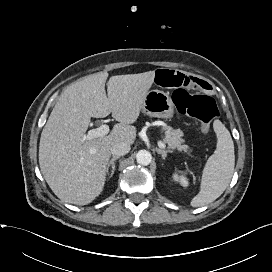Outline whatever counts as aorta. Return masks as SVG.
I'll return each instance as SVG.
<instances>
[{"label":"aorta","instance_id":"1","mask_svg":"<svg viewBox=\"0 0 272 272\" xmlns=\"http://www.w3.org/2000/svg\"><path fill=\"white\" fill-rule=\"evenodd\" d=\"M136 161L140 165H149L152 161V155L149 151L147 150H140L136 154Z\"/></svg>","mask_w":272,"mask_h":272}]
</instances>
